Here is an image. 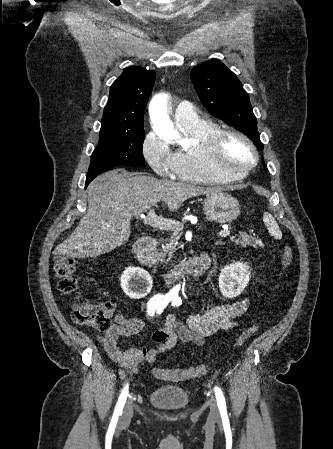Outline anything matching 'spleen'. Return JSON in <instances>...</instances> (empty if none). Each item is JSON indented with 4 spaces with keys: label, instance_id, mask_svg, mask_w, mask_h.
Listing matches in <instances>:
<instances>
[{
    "label": "spleen",
    "instance_id": "spleen-1",
    "mask_svg": "<svg viewBox=\"0 0 333 449\" xmlns=\"http://www.w3.org/2000/svg\"><path fill=\"white\" fill-rule=\"evenodd\" d=\"M263 221L267 226L269 233L274 236L276 239H280L282 237V233L279 229V226L275 220V218L269 213L266 212L263 216Z\"/></svg>",
    "mask_w": 333,
    "mask_h": 449
}]
</instances>
